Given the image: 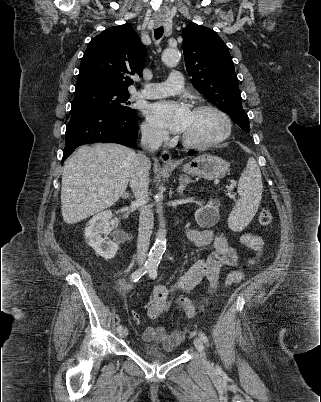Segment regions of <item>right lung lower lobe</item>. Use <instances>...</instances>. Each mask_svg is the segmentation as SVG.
<instances>
[{
    "label": "right lung lower lobe",
    "instance_id": "right-lung-lower-lobe-1",
    "mask_svg": "<svg viewBox=\"0 0 321 402\" xmlns=\"http://www.w3.org/2000/svg\"><path fill=\"white\" fill-rule=\"evenodd\" d=\"M138 135L136 113L111 114L91 110L71 112L66 127L62 164L80 145L107 142L135 147Z\"/></svg>",
    "mask_w": 321,
    "mask_h": 402
}]
</instances>
